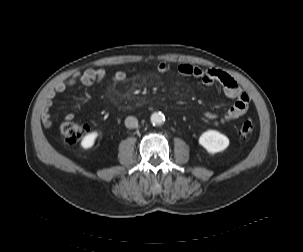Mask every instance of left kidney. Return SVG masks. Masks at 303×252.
Returning <instances> with one entry per match:
<instances>
[{"label": "left kidney", "instance_id": "left-kidney-1", "mask_svg": "<svg viewBox=\"0 0 303 252\" xmlns=\"http://www.w3.org/2000/svg\"><path fill=\"white\" fill-rule=\"evenodd\" d=\"M199 144L209 153H217L225 150L229 145V139L216 130H208L199 137Z\"/></svg>", "mask_w": 303, "mask_h": 252}]
</instances>
